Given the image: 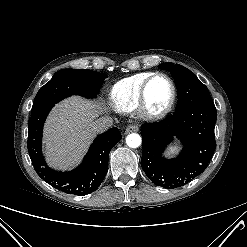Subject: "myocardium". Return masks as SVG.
I'll return each mask as SVG.
<instances>
[{
  "label": "myocardium",
  "mask_w": 247,
  "mask_h": 247,
  "mask_svg": "<svg viewBox=\"0 0 247 247\" xmlns=\"http://www.w3.org/2000/svg\"><path fill=\"white\" fill-rule=\"evenodd\" d=\"M157 77H163L169 82L171 86V97L168 104L164 108L160 110H152L148 105L147 91L150 83ZM176 97H177V89L173 79L165 73H161V72L153 73L144 81L140 89L138 106H137L138 113L145 120H150V121L160 120L164 118L172 110L176 101Z\"/></svg>",
  "instance_id": "obj_1"
}]
</instances>
